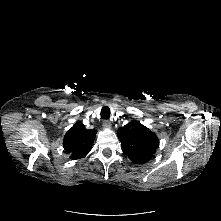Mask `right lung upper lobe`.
Returning <instances> with one entry per match:
<instances>
[{"instance_id":"right-lung-upper-lobe-1","label":"right lung upper lobe","mask_w":221,"mask_h":221,"mask_svg":"<svg viewBox=\"0 0 221 221\" xmlns=\"http://www.w3.org/2000/svg\"><path fill=\"white\" fill-rule=\"evenodd\" d=\"M96 130L86 129L82 122L78 121L65 135L63 146L70 153L73 160L86 156L93 145Z\"/></svg>"}]
</instances>
